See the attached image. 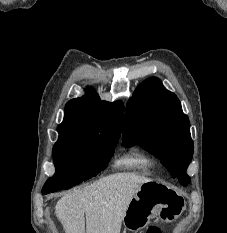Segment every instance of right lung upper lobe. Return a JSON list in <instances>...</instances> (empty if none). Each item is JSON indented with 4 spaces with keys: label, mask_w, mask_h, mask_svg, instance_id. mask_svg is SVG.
<instances>
[{
    "label": "right lung upper lobe",
    "mask_w": 227,
    "mask_h": 233,
    "mask_svg": "<svg viewBox=\"0 0 227 233\" xmlns=\"http://www.w3.org/2000/svg\"><path fill=\"white\" fill-rule=\"evenodd\" d=\"M70 100L65 106V117L58 126L63 137L101 139L112 135L120 137L124 105L122 101H102L92 90Z\"/></svg>",
    "instance_id": "cb5924a9"
}]
</instances>
